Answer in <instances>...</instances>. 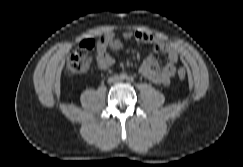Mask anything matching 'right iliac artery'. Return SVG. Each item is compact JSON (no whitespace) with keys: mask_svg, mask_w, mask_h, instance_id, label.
I'll use <instances>...</instances> for the list:
<instances>
[{"mask_svg":"<svg viewBox=\"0 0 243 167\" xmlns=\"http://www.w3.org/2000/svg\"><path fill=\"white\" fill-rule=\"evenodd\" d=\"M120 77H121L122 79H125V78H127V75H126L125 73H122V74L120 75Z\"/></svg>","mask_w":243,"mask_h":167,"instance_id":"1","label":"right iliac artery"}]
</instances>
